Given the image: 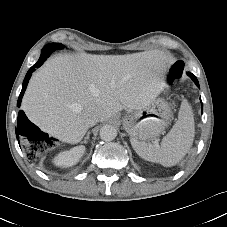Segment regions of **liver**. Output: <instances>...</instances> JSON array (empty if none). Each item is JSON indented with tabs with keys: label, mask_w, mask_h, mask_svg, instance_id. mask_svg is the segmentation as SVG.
Wrapping results in <instances>:
<instances>
[{
	"label": "liver",
	"mask_w": 227,
	"mask_h": 227,
	"mask_svg": "<svg viewBox=\"0 0 227 227\" xmlns=\"http://www.w3.org/2000/svg\"><path fill=\"white\" fill-rule=\"evenodd\" d=\"M168 59L153 50L128 55H60L32 76L22 109L43 132L77 144L86 116L108 120L124 107L142 110L166 88Z\"/></svg>",
	"instance_id": "1"
}]
</instances>
